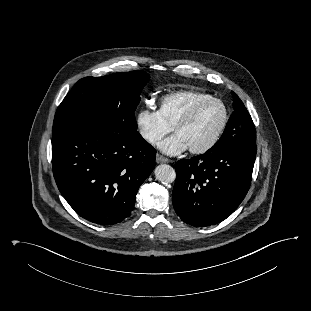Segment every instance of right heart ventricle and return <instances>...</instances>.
Listing matches in <instances>:
<instances>
[{
	"label": "right heart ventricle",
	"instance_id": "e07e8e85",
	"mask_svg": "<svg viewBox=\"0 0 311 311\" xmlns=\"http://www.w3.org/2000/svg\"><path fill=\"white\" fill-rule=\"evenodd\" d=\"M208 97L210 95L196 91L174 92L161 98L159 112L165 122L173 128L191 106Z\"/></svg>",
	"mask_w": 311,
	"mask_h": 311
}]
</instances>
